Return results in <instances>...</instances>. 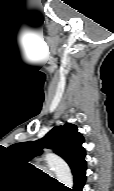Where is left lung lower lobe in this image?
<instances>
[{
	"mask_svg": "<svg viewBox=\"0 0 114 191\" xmlns=\"http://www.w3.org/2000/svg\"><path fill=\"white\" fill-rule=\"evenodd\" d=\"M86 161L83 162L79 167H77L73 172L74 176V187L71 191H82V188L86 179Z\"/></svg>",
	"mask_w": 114,
	"mask_h": 191,
	"instance_id": "obj_1",
	"label": "left lung lower lobe"
}]
</instances>
